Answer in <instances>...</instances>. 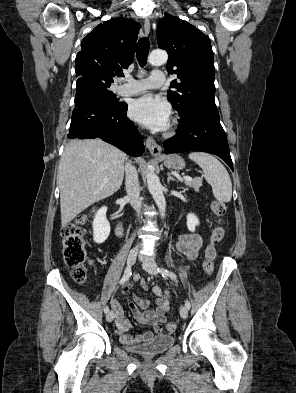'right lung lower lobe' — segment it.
I'll return each instance as SVG.
<instances>
[{"label":"right lung lower lobe","instance_id":"right-lung-lower-lobe-1","mask_svg":"<svg viewBox=\"0 0 296 393\" xmlns=\"http://www.w3.org/2000/svg\"><path fill=\"white\" fill-rule=\"evenodd\" d=\"M75 108L68 138H101L131 156H140L145 148L137 128L126 117L127 105L109 104L86 80L78 78Z\"/></svg>","mask_w":296,"mask_h":393}]
</instances>
